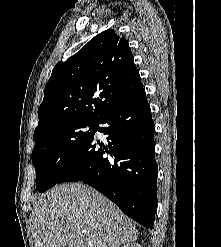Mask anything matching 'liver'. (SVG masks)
Segmentation results:
<instances>
[{"label": "liver", "mask_w": 221, "mask_h": 247, "mask_svg": "<svg viewBox=\"0 0 221 247\" xmlns=\"http://www.w3.org/2000/svg\"><path fill=\"white\" fill-rule=\"evenodd\" d=\"M31 232L35 247H119L138 238L114 203L80 183L55 186L38 197Z\"/></svg>", "instance_id": "6515ba94"}]
</instances>
